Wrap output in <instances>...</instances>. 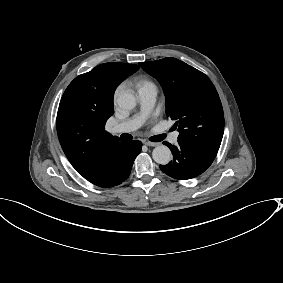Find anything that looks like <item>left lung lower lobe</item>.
<instances>
[{"instance_id": "left-lung-lower-lobe-1", "label": "left lung lower lobe", "mask_w": 283, "mask_h": 283, "mask_svg": "<svg viewBox=\"0 0 283 283\" xmlns=\"http://www.w3.org/2000/svg\"><path fill=\"white\" fill-rule=\"evenodd\" d=\"M173 151V160L167 165H160L162 172L168 176L186 180L194 178L205 170L214 161L217 152L194 146L178 140V146L164 142Z\"/></svg>"}]
</instances>
